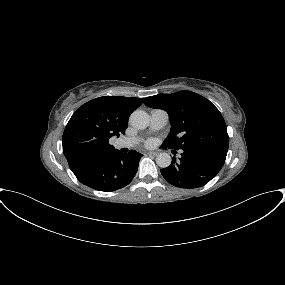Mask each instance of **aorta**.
I'll return each instance as SVG.
<instances>
[{"instance_id": "762f6f07", "label": "aorta", "mask_w": 285, "mask_h": 285, "mask_svg": "<svg viewBox=\"0 0 285 285\" xmlns=\"http://www.w3.org/2000/svg\"><path fill=\"white\" fill-rule=\"evenodd\" d=\"M130 125L138 130L146 129L149 125V117L143 111H134L129 118ZM171 157L168 153H160L156 157V163L161 168H167L171 164Z\"/></svg>"}]
</instances>
